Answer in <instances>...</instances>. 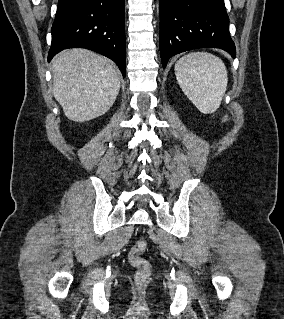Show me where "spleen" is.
Wrapping results in <instances>:
<instances>
[{"mask_svg":"<svg viewBox=\"0 0 284 319\" xmlns=\"http://www.w3.org/2000/svg\"><path fill=\"white\" fill-rule=\"evenodd\" d=\"M174 70L182 91L200 112L210 114L219 108L228 83L220 58L207 52L189 53L176 62Z\"/></svg>","mask_w":284,"mask_h":319,"instance_id":"spleen-1","label":"spleen"}]
</instances>
